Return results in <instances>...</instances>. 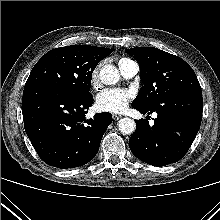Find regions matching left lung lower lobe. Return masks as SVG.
<instances>
[{"instance_id": "obj_1", "label": "left lung lower lobe", "mask_w": 220, "mask_h": 220, "mask_svg": "<svg viewBox=\"0 0 220 220\" xmlns=\"http://www.w3.org/2000/svg\"><path fill=\"white\" fill-rule=\"evenodd\" d=\"M143 114L156 112L154 125L136 122L129 139L131 152L140 160L165 166L179 161L193 143L202 120V92L187 91L163 101L153 109L132 105Z\"/></svg>"}]
</instances>
